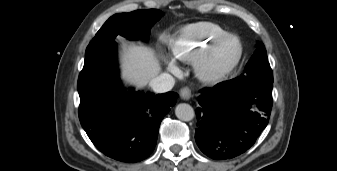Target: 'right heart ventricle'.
Here are the masks:
<instances>
[{"instance_id":"1","label":"right heart ventricle","mask_w":337,"mask_h":171,"mask_svg":"<svg viewBox=\"0 0 337 171\" xmlns=\"http://www.w3.org/2000/svg\"><path fill=\"white\" fill-rule=\"evenodd\" d=\"M226 34L225 28L213 22L191 23L178 31L170 42V50L177 60L192 63L211 41Z\"/></svg>"}]
</instances>
